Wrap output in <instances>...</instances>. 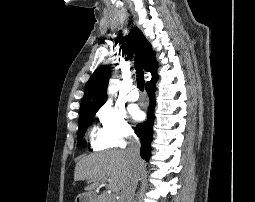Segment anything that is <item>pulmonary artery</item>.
Listing matches in <instances>:
<instances>
[{
    "mask_svg": "<svg viewBox=\"0 0 255 202\" xmlns=\"http://www.w3.org/2000/svg\"><path fill=\"white\" fill-rule=\"evenodd\" d=\"M128 101H137L139 98V93L136 86H131L126 94Z\"/></svg>",
    "mask_w": 255,
    "mask_h": 202,
    "instance_id": "obj_1",
    "label": "pulmonary artery"
}]
</instances>
